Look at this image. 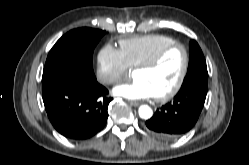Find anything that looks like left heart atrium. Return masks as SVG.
Wrapping results in <instances>:
<instances>
[{"label":"left heart atrium","mask_w":249,"mask_h":165,"mask_svg":"<svg viewBox=\"0 0 249 165\" xmlns=\"http://www.w3.org/2000/svg\"><path fill=\"white\" fill-rule=\"evenodd\" d=\"M113 93L131 100L147 99L155 96L151 87L140 78L118 84L113 89Z\"/></svg>","instance_id":"1"}]
</instances>
